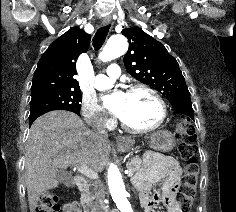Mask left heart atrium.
<instances>
[{"label": "left heart atrium", "mask_w": 236, "mask_h": 212, "mask_svg": "<svg viewBox=\"0 0 236 212\" xmlns=\"http://www.w3.org/2000/svg\"><path fill=\"white\" fill-rule=\"evenodd\" d=\"M126 94L121 91H116L104 97L103 101L108 110L113 114L121 117L124 111Z\"/></svg>", "instance_id": "1"}]
</instances>
